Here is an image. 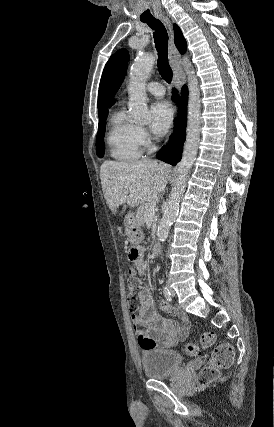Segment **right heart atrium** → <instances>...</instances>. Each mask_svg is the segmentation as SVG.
Here are the masks:
<instances>
[{"instance_id": "obj_1", "label": "right heart atrium", "mask_w": 274, "mask_h": 427, "mask_svg": "<svg viewBox=\"0 0 274 427\" xmlns=\"http://www.w3.org/2000/svg\"><path fill=\"white\" fill-rule=\"evenodd\" d=\"M139 137H140L141 144L147 147L149 144L148 133L144 129H139Z\"/></svg>"}]
</instances>
